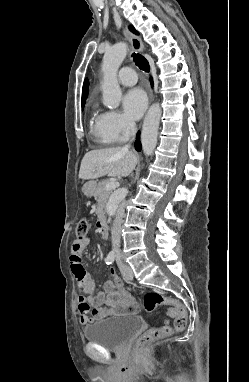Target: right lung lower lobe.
Listing matches in <instances>:
<instances>
[{
	"mask_svg": "<svg viewBox=\"0 0 249 382\" xmlns=\"http://www.w3.org/2000/svg\"><path fill=\"white\" fill-rule=\"evenodd\" d=\"M139 134V133H138ZM137 134V135H138ZM141 143L138 141V140H136V142H135V149L137 150V151H140L141 150Z\"/></svg>",
	"mask_w": 249,
	"mask_h": 382,
	"instance_id": "1",
	"label": "right lung lower lobe"
}]
</instances>
